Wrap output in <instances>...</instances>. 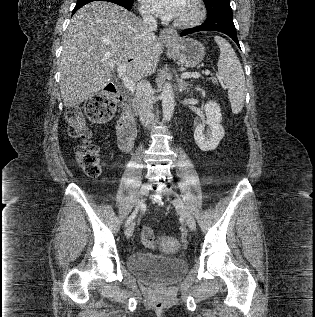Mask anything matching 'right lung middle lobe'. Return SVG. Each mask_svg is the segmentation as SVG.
<instances>
[{"instance_id":"dd1d6c3e","label":"right lung middle lobe","mask_w":315,"mask_h":317,"mask_svg":"<svg viewBox=\"0 0 315 317\" xmlns=\"http://www.w3.org/2000/svg\"><path fill=\"white\" fill-rule=\"evenodd\" d=\"M85 1H90V0H77V3L85 2ZM123 1H126L128 3H133V0H123Z\"/></svg>"}]
</instances>
